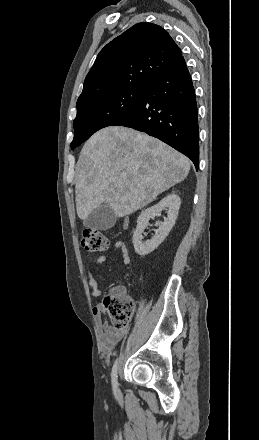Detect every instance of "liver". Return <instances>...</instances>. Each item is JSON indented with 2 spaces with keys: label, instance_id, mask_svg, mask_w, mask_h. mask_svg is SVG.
Returning <instances> with one entry per match:
<instances>
[{
  "label": "liver",
  "instance_id": "liver-1",
  "mask_svg": "<svg viewBox=\"0 0 259 440\" xmlns=\"http://www.w3.org/2000/svg\"><path fill=\"white\" fill-rule=\"evenodd\" d=\"M189 170V159L159 139L128 127L103 128L85 143L76 165L77 215L84 220L103 203L117 217L130 215Z\"/></svg>",
  "mask_w": 259,
  "mask_h": 440
}]
</instances>
